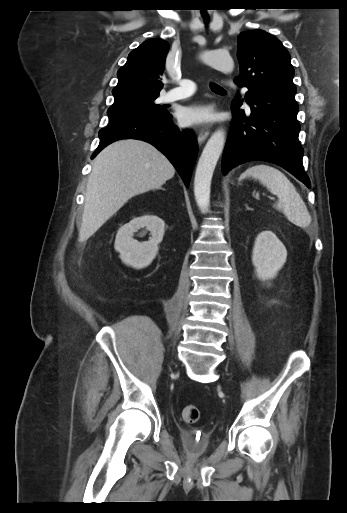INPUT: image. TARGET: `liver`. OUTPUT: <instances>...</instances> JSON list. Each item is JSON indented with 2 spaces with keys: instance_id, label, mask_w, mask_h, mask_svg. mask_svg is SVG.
I'll use <instances>...</instances> for the list:
<instances>
[{
  "instance_id": "liver-1",
  "label": "liver",
  "mask_w": 347,
  "mask_h": 513,
  "mask_svg": "<svg viewBox=\"0 0 347 513\" xmlns=\"http://www.w3.org/2000/svg\"><path fill=\"white\" fill-rule=\"evenodd\" d=\"M175 174L169 160L137 139L113 142L94 159L79 239L87 240L129 199L161 186Z\"/></svg>"
}]
</instances>
